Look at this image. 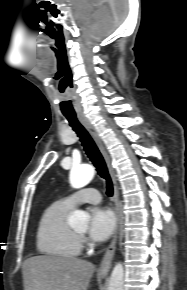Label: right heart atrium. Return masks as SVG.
Here are the masks:
<instances>
[{"label": "right heart atrium", "mask_w": 187, "mask_h": 290, "mask_svg": "<svg viewBox=\"0 0 187 290\" xmlns=\"http://www.w3.org/2000/svg\"><path fill=\"white\" fill-rule=\"evenodd\" d=\"M81 241H83V242H84V239H83V238H81Z\"/></svg>", "instance_id": "1"}]
</instances>
